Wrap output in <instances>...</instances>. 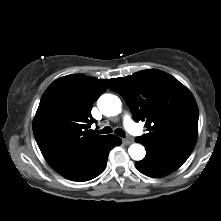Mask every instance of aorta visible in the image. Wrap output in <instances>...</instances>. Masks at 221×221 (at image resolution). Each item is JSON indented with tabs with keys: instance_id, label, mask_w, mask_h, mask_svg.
<instances>
[{
	"instance_id": "obj_1",
	"label": "aorta",
	"mask_w": 221,
	"mask_h": 221,
	"mask_svg": "<svg viewBox=\"0 0 221 221\" xmlns=\"http://www.w3.org/2000/svg\"><path fill=\"white\" fill-rule=\"evenodd\" d=\"M98 108L106 116H115L121 112V100L112 94H103L97 102ZM128 153L133 160L139 161L145 157V148L138 143L128 148Z\"/></svg>"
}]
</instances>
